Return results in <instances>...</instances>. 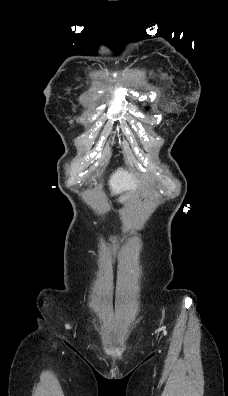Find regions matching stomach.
I'll return each instance as SVG.
<instances>
[{
    "label": "stomach",
    "mask_w": 228,
    "mask_h": 396,
    "mask_svg": "<svg viewBox=\"0 0 228 396\" xmlns=\"http://www.w3.org/2000/svg\"><path fill=\"white\" fill-rule=\"evenodd\" d=\"M145 191H146L145 189H141V188L131 189L130 191L123 194L119 201L122 204H126L127 202H129L131 199H133L135 197L143 196Z\"/></svg>",
    "instance_id": "stomach-1"
}]
</instances>
